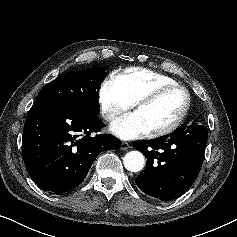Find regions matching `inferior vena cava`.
<instances>
[{
  "instance_id": "602c4592",
  "label": "inferior vena cava",
  "mask_w": 237,
  "mask_h": 237,
  "mask_svg": "<svg viewBox=\"0 0 237 237\" xmlns=\"http://www.w3.org/2000/svg\"><path fill=\"white\" fill-rule=\"evenodd\" d=\"M106 118H111V116H110V115H107Z\"/></svg>"
}]
</instances>
